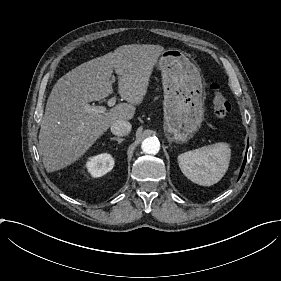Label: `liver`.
<instances>
[{
    "mask_svg": "<svg viewBox=\"0 0 281 281\" xmlns=\"http://www.w3.org/2000/svg\"><path fill=\"white\" fill-rule=\"evenodd\" d=\"M163 51L160 45H123L58 79L48 97L39 133L47 172L74 163L113 124L133 118L135 105L142 103L153 67ZM113 69L118 75V93L127 103H119L103 114H88L86 104L113 93Z\"/></svg>",
    "mask_w": 281,
    "mask_h": 281,
    "instance_id": "6515ba94",
    "label": "liver"
}]
</instances>
